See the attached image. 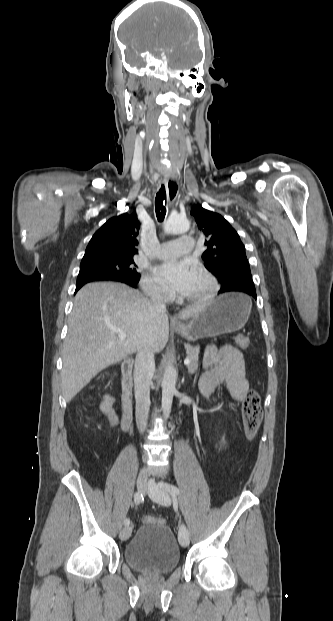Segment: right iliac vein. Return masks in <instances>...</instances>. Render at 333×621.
<instances>
[{
  "label": "right iliac vein",
  "mask_w": 333,
  "mask_h": 621,
  "mask_svg": "<svg viewBox=\"0 0 333 621\" xmlns=\"http://www.w3.org/2000/svg\"><path fill=\"white\" fill-rule=\"evenodd\" d=\"M137 489L145 493L147 490V473L145 470H141L137 477ZM132 532V526H127L120 531L119 537L122 541H126Z\"/></svg>",
  "instance_id": "1"
}]
</instances>
